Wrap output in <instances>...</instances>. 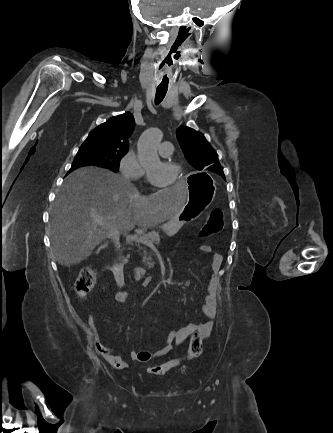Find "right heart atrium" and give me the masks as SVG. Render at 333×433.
Instances as JSON below:
<instances>
[{"label":"right heart atrium","mask_w":333,"mask_h":433,"mask_svg":"<svg viewBox=\"0 0 333 433\" xmlns=\"http://www.w3.org/2000/svg\"><path fill=\"white\" fill-rule=\"evenodd\" d=\"M119 169L121 174L131 180L141 179L145 171L132 151L126 152L120 159Z\"/></svg>","instance_id":"d8ad5b80"}]
</instances>
